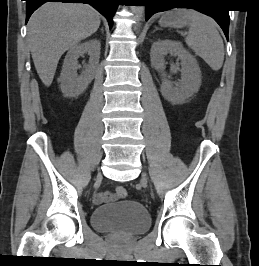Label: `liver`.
<instances>
[{"mask_svg":"<svg viewBox=\"0 0 259 266\" xmlns=\"http://www.w3.org/2000/svg\"><path fill=\"white\" fill-rule=\"evenodd\" d=\"M100 14L82 3L49 2L28 22V43L36 71L49 87L61 56L91 36L100 26Z\"/></svg>","mask_w":259,"mask_h":266,"instance_id":"liver-1","label":"liver"}]
</instances>
